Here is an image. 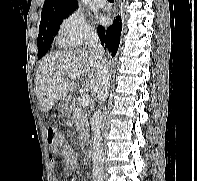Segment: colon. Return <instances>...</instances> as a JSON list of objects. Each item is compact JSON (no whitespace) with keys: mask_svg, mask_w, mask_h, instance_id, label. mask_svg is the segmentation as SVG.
<instances>
[{"mask_svg":"<svg viewBox=\"0 0 197 181\" xmlns=\"http://www.w3.org/2000/svg\"><path fill=\"white\" fill-rule=\"evenodd\" d=\"M46 140H47L48 146L51 148L52 151L59 150L60 146L62 145V138L58 134L55 127L47 128Z\"/></svg>","mask_w":197,"mask_h":181,"instance_id":"colon-1","label":"colon"}]
</instances>
